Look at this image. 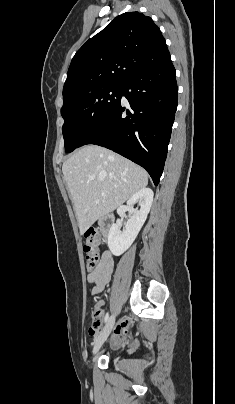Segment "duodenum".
I'll return each instance as SVG.
<instances>
[{"instance_id":"duodenum-1","label":"duodenum","mask_w":235,"mask_h":404,"mask_svg":"<svg viewBox=\"0 0 235 404\" xmlns=\"http://www.w3.org/2000/svg\"><path fill=\"white\" fill-rule=\"evenodd\" d=\"M113 222L114 220L110 215L104 216L100 219V229L105 236L109 235Z\"/></svg>"}]
</instances>
